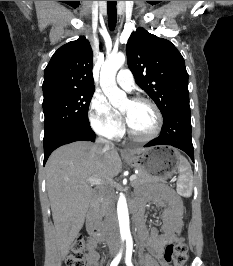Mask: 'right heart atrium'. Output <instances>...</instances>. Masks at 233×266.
I'll return each mask as SVG.
<instances>
[{
  "instance_id": "d8ad5b80",
  "label": "right heart atrium",
  "mask_w": 233,
  "mask_h": 266,
  "mask_svg": "<svg viewBox=\"0 0 233 266\" xmlns=\"http://www.w3.org/2000/svg\"><path fill=\"white\" fill-rule=\"evenodd\" d=\"M88 119L92 129L100 136L118 138L123 133L120 114L101 93H95L89 103Z\"/></svg>"
}]
</instances>
